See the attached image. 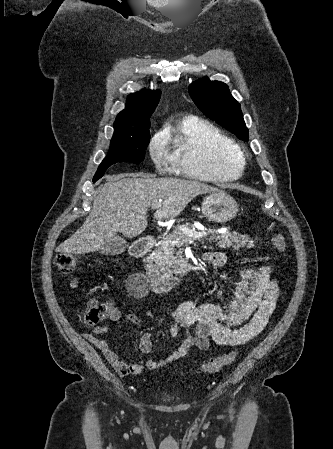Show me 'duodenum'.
<instances>
[{"label":"duodenum","instance_id":"1","mask_svg":"<svg viewBox=\"0 0 333 449\" xmlns=\"http://www.w3.org/2000/svg\"><path fill=\"white\" fill-rule=\"evenodd\" d=\"M155 238L146 236L136 241L130 248V254L141 258L145 256L155 245ZM151 289L156 293H167L178 286L181 280L187 276L190 266H184L173 273H161L154 265L144 264Z\"/></svg>","mask_w":333,"mask_h":449}]
</instances>
